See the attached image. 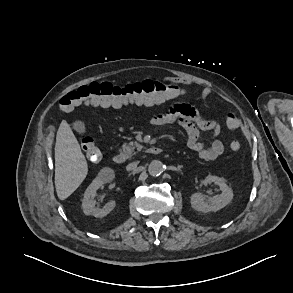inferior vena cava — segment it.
I'll return each instance as SVG.
<instances>
[{
	"instance_id": "obj_1",
	"label": "inferior vena cava",
	"mask_w": 293,
	"mask_h": 293,
	"mask_svg": "<svg viewBox=\"0 0 293 293\" xmlns=\"http://www.w3.org/2000/svg\"><path fill=\"white\" fill-rule=\"evenodd\" d=\"M137 165H138V162H132V163L127 165L126 170L127 171L134 170L137 167Z\"/></svg>"
}]
</instances>
